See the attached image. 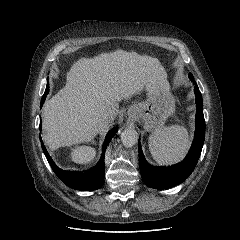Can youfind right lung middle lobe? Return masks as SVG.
Segmentation results:
<instances>
[{
	"label": "right lung middle lobe",
	"instance_id": "obj_1",
	"mask_svg": "<svg viewBox=\"0 0 240 240\" xmlns=\"http://www.w3.org/2000/svg\"><path fill=\"white\" fill-rule=\"evenodd\" d=\"M48 91H49V84H47V86H46V90H45V93H44L43 96H46V95L48 94Z\"/></svg>",
	"mask_w": 240,
	"mask_h": 240
}]
</instances>
